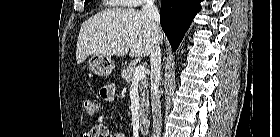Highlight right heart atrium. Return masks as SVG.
<instances>
[{
  "mask_svg": "<svg viewBox=\"0 0 280 137\" xmlns=\"http://www.w3.org/2000/svg\"><path fill=\"white\" fill-rule=\"evenodd\" d=\"M135 5L141 6L144 4V0H134Z\"/></svg>",
  "mask_w": 280,
  "mask_h": 137,
  "instance_id": "1",
  "label": "right heart atrium"
}]
</instances>
